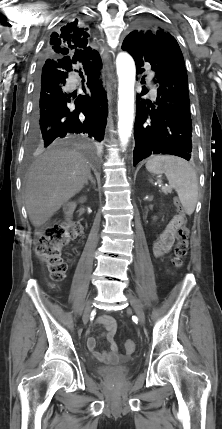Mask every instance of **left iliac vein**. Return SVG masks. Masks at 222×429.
<instances>
[{"label": "left iliac vein", "mask_w": 222, "mask_h": 429, "mask_svg": "<svg viewBox=\"0 0 222 429\" xmlns=\"http://www.w3.org/2000/svg\"><path fill=\"white\" fill-rule=\"evenodd\" d=\"M127 298L129 300L130 304L132 305V307H133V309H134V311H135V313L139 319V322L141 324H144V320H145L144 311H143V308H142L139 300L131 293L127 294Z\"/></svg>", "instance_id": "left-iliac-vein-1"}]
</instances>
